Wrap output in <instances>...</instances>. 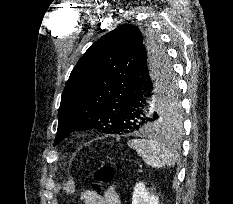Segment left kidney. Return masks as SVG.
<instances>
[{"label":"left kidney","mask_w":233,"mask_h":204,"mask_svg":"<svg viewBox=\"0 0 233 204\" xmlns=\"http://www.w3.org/2000/svg\"><path fill=\"white\" fill-rule=\"evenodd\" d=\"M132 204H159V198L150 193L143 182H139L134 187Z\"/></svg>","instance_id":"left-kidney-1"}]
</instances>
